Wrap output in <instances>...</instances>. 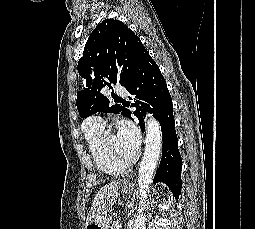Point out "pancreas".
I'll return each mask as SVG.
<instances>
[{"mask_svg":"<svg viewBox=\"0 0 255 229\" xmlns=\"http://www.w3.org/2000/svg\"><path fill=\"white\" fill-rule=\"evenodd\" d=\"M117 224H118V221H113L110 226V229H117V227H116Z\"/></svg>","mask_w":255,"mask_h":229,"instance_id":"obj_1","label":"pancreas"}]
</instances>
